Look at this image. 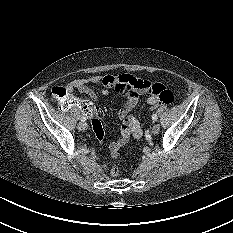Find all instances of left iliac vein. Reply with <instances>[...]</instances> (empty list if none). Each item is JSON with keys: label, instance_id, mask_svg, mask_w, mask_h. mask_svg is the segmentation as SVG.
<instances>
[{"label": "left iliac vein", "instance_id": "1", "mask_svg": "<svg viewBox=\"0 0 233 233\" xmlns=\"http://www.w3.org/2000/svg\"><path fill=\"white\" fill-rule=\"evenodd\" d=\"M159 131H160V125L157 124V123H155V124L153 125V127H152V133H153L154 135H157V134L159 133Z\"/></svg>", "mask_w": 233, "mask_h": 233}]
</instances>
